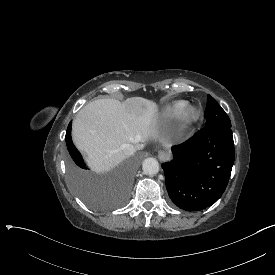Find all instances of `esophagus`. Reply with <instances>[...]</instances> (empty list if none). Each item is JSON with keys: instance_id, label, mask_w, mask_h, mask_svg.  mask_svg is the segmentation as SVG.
<instances>
[{"instance_id": "esophagus-1", "label": "esophagus", "mask_w": 275, "mask_h": 275, "mask_svg": "<svg viewBox=\"0 0 275 275\" xmlns=\"http://www.w3.org/2000/svg\"><path fill=\"white\" fill-rule=\"evenodd\" d=\"M147 155H148L147 153L144 154V156H147Z\"/></svg>"}]
</instances>
